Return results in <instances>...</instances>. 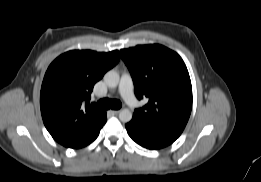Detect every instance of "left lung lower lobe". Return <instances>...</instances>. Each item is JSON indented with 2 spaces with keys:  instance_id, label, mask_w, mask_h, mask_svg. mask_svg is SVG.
I'll use <instances>...</instances> for the list:
<instances>
[{
  "instance_id": "1",
  "label": "left lung lower lobe",
  "mask_w": 261,
  "mask_h": 182,
  "mask_svg": "<svg viewBox=\"0 0 261 182\" xmlns=\"http://www.w3.org/2000/svg\"><path fill=\"white\" fill-rule=\"evenodd\" d=\"M129 136L148 149H160L173 143L178 137L139 128L132 120L125 125Z\"/></svg>"
}]
</instances>
